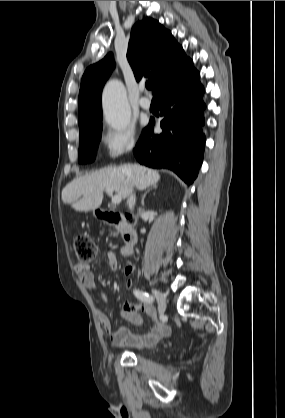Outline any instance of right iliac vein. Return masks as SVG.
<instances>
[{
    "instance_id": "right-iliac-vein-1",
    "label": "right iliac vein",
    "mask_w": 285,
    "mask_h": 418,
    "mask_svg": "<svg viewBox=\"0 0 285 418\" xmlns=\"http://www.w3.org/2000/svg\"><path fill=\"white\" fill-rule=\"evenodd\" d=\"M151 291L158 301L159 314L163 316L167 306L166 296L155 288H151Z\"/></svg>"
}]
</instances>
